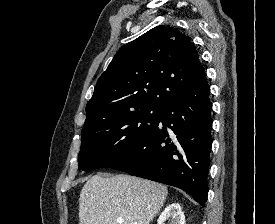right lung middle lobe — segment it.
Returning <instances> with one entry per match:
<instances>
[{"label": "right lung middle lobe", "mask_w": 275, "mask_h": 224, "mask_svg": "<svg viewBox=\"0 0 275 224\" xmlns=\"http://www.w3.org/2000/svg\"><path fill=\"white\" fill-rule=\"evenodd\" d=\"M162 109L146 108L117 115L82 129L79 170L110 166L153 132Z\"/></svg>", "instance_id": "right-lung-middle-lobe-1"}]
</instances>
